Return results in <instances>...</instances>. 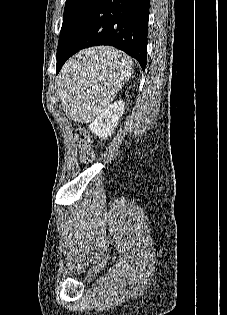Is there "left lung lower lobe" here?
<instances>
[{
	"label": "left lung lower lobe",
	"instance_id": "1",
	"mask_svg": "<svg viewBox=\"0 0 227 315\" xmlns=\"http://www.w3.org/2000/svg\"><path fill=\"white\" fill-rule=\"evenodd\" d=\"M150 0H99L57 53V71L77 51L99 45L114 46L145 70Z\"/></svg>",
	"mask_w": 227,
	"mask_h": 315
}]
</instances>
